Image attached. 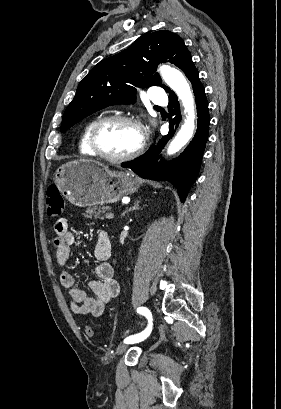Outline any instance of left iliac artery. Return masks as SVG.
<instances>
[{
	"mask_svg": "<svg viewBox=\"0 0 281 409\" xmlns=\"http://www.w3.org/2000/svg\"><path fill=\"white\" fill-rule=\"evenodd\" d=\"M137 312L144 315L148 319V322H149L148 327L139 334H135V335H131V336L127 337L124 340L125 343L130 344V343H136V342L142 341V340H144L145 338H147L149 336V334H150V332L152 330V315H151V312L146 307H139L137 309Z\"/></svg>",
	"mask_w": 281,
	"mask_h": 409,
	"instance_id": "obj_1",
	"label": "left iliac artery"
}]
</instances>
